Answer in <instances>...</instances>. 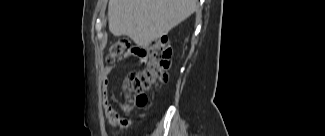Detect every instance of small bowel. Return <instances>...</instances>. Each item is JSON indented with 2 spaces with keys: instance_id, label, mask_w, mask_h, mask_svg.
Instances as JSON below:
<instances>
[{
  "instance_id": "small-bowel-1",
  "label": "small bowel",
  "mask_w": 325,
  "mask_h": 136,
  "mask_svg": "<svg viewBox=\"0 0 325 136\" xmlns=\"http://www.w3.org/2000/svg\"><path fill=\"white\" fill-rule=\"evenodd\" d=\"M129 53L131 55H134V59L137 60L136 62V67L137 68H146L147 67V62L146 58L149 53L148 48H145L144 44H129ZM113 66H106L103 70V97H102V102H103V108L105 112V116L109 123L113 126H120V127H126L129 126L130 120H127L124 116H122L117 109L115 108L112 98H111V93L109 91V83L110 79L109 76L111 74ZM137 68H131L130 73H127L126 76L122 77V82L123 86H119L117 88V91L119 93H124L126 91V88H131L132 87V82L131 80H134L136 78V75L138 74V69ZM116 97L119 95L117 92L114 94ZM145 105V104H144ZM144 105H139L136 104L138 107H142ZM131 107L126 108L123 110L124 113H126L128 110H130Z\"/></svg>"
}]
</instances>
